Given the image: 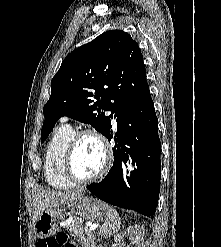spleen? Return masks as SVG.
Returning a JSON list of instances; mask_svg holds the SVG:
<instances>
[{
	"mask_svg": "<svg viewBox=\"0 0 221 247\" xmlns=\"http://www.w3.org/2000/svg\"><path fill=\"white\" fill-rule=\"evenodd\" d=\"M106 220L100 230L102 236L108 237L117 234L120 229V217L115 209L107 206Z\"/></svg>",
	"mask_w": 221,
	"mask_h": 247,
	"instance_id": "1",
	"label": "spleen"
}]
</instances>
